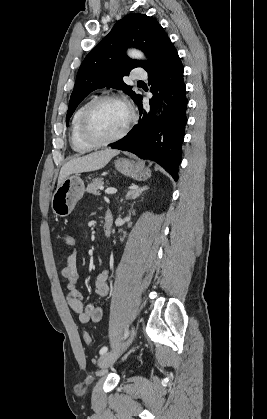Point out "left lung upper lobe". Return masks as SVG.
<instances>
[{
	"mask_svg": "<svg viewBox=\"0 0 267 419\" xmlns=\"http://www.w3.org/2000/svg\"><path fill=\"white\" fill-rule=\"evenodd\" d=\"M169 41L164 29L152 17L132 13L119 20L85 57L78 70L66 116L67 125L80 102L98 88L121 89L136 103L142 96L132 91V87L123 81V76L129 75L136 67L149 71L159 61ZM132 46L145 52L148 61L128 58L125 51Z\"/></svg>",
	"mask_w": 267,
	"mask_h": 419,
	"instance_id": "left-lung-upper-lobe-1",
	"label": "left lung upper lobe"
}]
</instances>
